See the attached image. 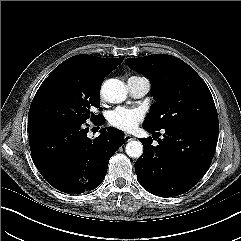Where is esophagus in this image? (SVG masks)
Segmentation results:
<instances>
[{
	"instance_id": "1",
	"label": "esophagus",
	"mask_w": 241,
	"mask_h": 241,
	"mask_svg": "<svg viewBox=\"0 0 241 241\" xmlns=\"http://www.w3.org/2000/svg\"><path fill=\"white\" fill-rule=\"evenodd\" d=\"M124 139H125V141L129 142L131 140H134L135 137L130 134H125Z\"/></svg>"
}]
</instances>
